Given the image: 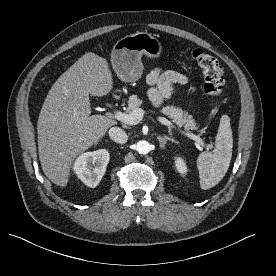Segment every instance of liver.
Returning <instances> with one entry per match:
<instances>
[{"label": "liver", "instance_id": "6515ba94", "mask_svg": "<svg viewBox=\"0 0 276 276\" xmlns=\"http://www.w3.org/2000/svg\"><path fill=\"white\" fill-rule=\"evenodd\" d=\"M113 79L106 59L88 52L53 84L37 122L38 152L46 177L65 187L75 158L89 149L116 121L91 115L89 96L110 93Z\"/></svg>", "mask_w": 276, "mask_h": 276}]
</instances>
